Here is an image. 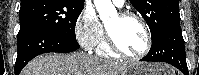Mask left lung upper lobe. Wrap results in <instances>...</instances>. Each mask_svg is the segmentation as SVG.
<instances>
[{
  "label": "left lung upper lobe",
  "mask_w": 199,
  "mask_h": 75,
  "mask_svg": "<svg viewBox=\"0 0 199 75\" xmlns=\"http://www.w3.org/2000/svg\"><path fill=\"white\" fill-rule=\"evenodd\" d=\"M147 22L152 41L173 23H180L178 0H130Z\"/></svg>",
  "instance_id": "obj_1"
}]
</instances>
